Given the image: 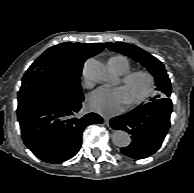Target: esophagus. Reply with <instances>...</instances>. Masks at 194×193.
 I'll return each mask as SVG.
<instances>
[{"instance_id":"esophagus-1","label":"esophagus","mask_w":194,"mask_h":193,"mask_svg":"<svg viewBox=\"0 0 194 193\" xmlns=\"http://www.w3.org/2000/svg\"><path fill=\"white\" fill-rule=\"evenodd\" d=\"M103 120H104V123H105L106 125H109L110 117L104 116V117H103Z\"/></svg>"}]
</instances>
